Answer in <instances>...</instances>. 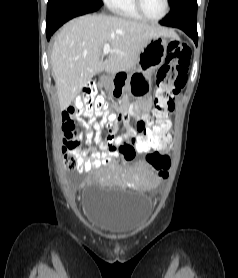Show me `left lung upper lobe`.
Masks as SVG:
<instances>
[{"label": "left lung upper lobe", "mask_w": 238, "mask_h": 278, "mask_svg": "<svg viewBox=\"0 0 238 278\" xmlns=\"http://www.w3.org/2000/svg\"><path fill=\"white\" fill-rule=\"evenodd\" d=\"M177 0H170V2H171V5L173 4V3H175Z\"/></svg>", "instance_id": "obj_1"}]
</instances>
